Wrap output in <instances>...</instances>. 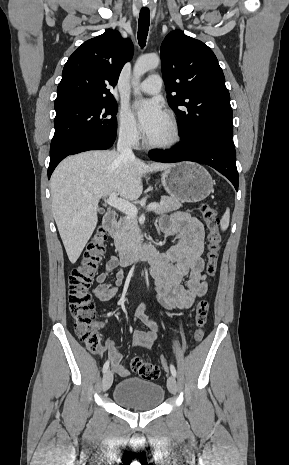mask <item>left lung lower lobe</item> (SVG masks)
I'll list each match as a JSON object with an SVG mask.
<instances>
[{
  "label": "left lung lower lobe",
  "instance_id": "obj_1",
  "mask_svg": "<svg viewBox=\"0 0 289 465\" xmlns=\"http://www.w3.org/2000/svg\"><path fill=\"white\" fill-rule=\"evenodd\" d=\"M149 157L157 162L173 163L193 161L213 167L227 177L238 190L236 151L232 137L209 132L194 131L172 150H154Z\"/></svg>",
  "mask_w": 289,
  "mask_h": 465
}]
</instances>
